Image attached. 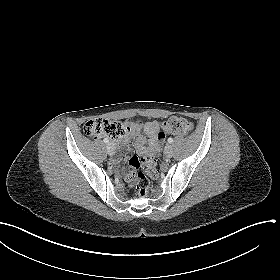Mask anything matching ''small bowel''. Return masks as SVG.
<instances>
[{"instance_id": "1", "label": "small bowel", "mask_w": 280, "mask_h": 280, "mask_svg": "<svg viewBox=\"0 0 280 280\" xmlns=\"http://www.w3.org/2000/svg\"><path fill=\"white\" fill-rule=\"evenodd\" d=\"M165 132L161 130L157 121L133 122L127 121L123 125V134L117 137L115 144L121 149L133 141V146L139 154H156L160 150V145L165 139ZM126 161L127 158L123 157Z\"/></svg>"}]
</instances>
